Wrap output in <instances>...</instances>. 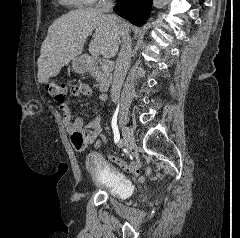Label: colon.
Returning <instances> with one entry per match:
<instances>
[{
	"label": "colon",
	"instance_id": "1",
	"mask_svg": "<svg viewBox=\"0 0 240 238\" xmlns=\"http://www.w3.org/2000/svg\"><path fill=\"white\" fill-rule=\"evenodd\" d=\"M45 89L47 93L58 102H63L66 97L67 88L65 85L56 82H49ZM85 136L81 132H74L72 134V142L75 146L81 147L84 145Z\"/></svg>",
	"mask_w": 240,
	"mask_h": 238
}]
</instances>
